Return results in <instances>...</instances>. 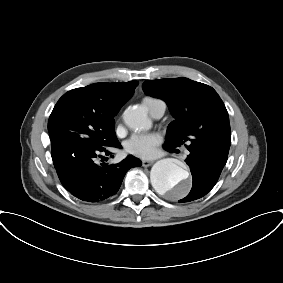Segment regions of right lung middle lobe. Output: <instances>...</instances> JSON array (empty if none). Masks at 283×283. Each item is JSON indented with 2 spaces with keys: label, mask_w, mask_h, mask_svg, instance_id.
<instances>
[{
  "label": "right lung middle lobe",
  "mask_w": 283,
  "mask_h": 283,
  "mask_svg": "<svg viewBox=\"0 0 283 283\" xmlns=\"http://www.w3.org/2000/svg\"><path fill=\"white\" fill-rule=\"evenodd\" d=\"M48 131L52 156L71 154L82 147L104 149L118 142L114 120H103L70 91L55 105Z\"/></svg>",
  "instance_id": "dd1d6c3e"
}]
</instances>
